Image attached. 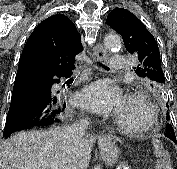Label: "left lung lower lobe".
Instances as JSON below:
<instances>
[{
	"mask_svg": "<svg viewBox=\"0 0 177 169\" xmlns=\"http://www.w3.org/2000/svg\"><path fill=\"white\" fill-rule=\"evenodd\" d=\"M164 135H165L166 137H168L169 139H171L174 143H176V137H175V135L166 134L165 132H164Z\"/></svg>",
	"mask_w": 177,
	"mask_h": 169,
	"instance_id": "1",
	"label": "left lung lower lobe"
}]
</instances>
